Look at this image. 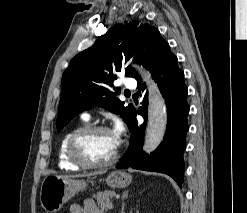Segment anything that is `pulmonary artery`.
Masks as SVG:
<instances>
[{"instance_id": "e3ab8cb5", "label": "pulmonary artery", "mask_w": 247, "mask_h": 213, "mask_svg": "<svg viewBox=\"0 0 247 213\" xmlns=\"http://www.w3.org/2000/svg\"><path fill=\"white\" fill-rule=\"evenodd\" d=\"M123 83H124V87L127 88L128 90H133L136 87V83H135L134 79L129 78V77L123 78ZM82 118L84 120H88L90 118V116L88 113H83Z\"/></svg>"}]
</instances>
